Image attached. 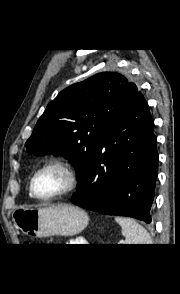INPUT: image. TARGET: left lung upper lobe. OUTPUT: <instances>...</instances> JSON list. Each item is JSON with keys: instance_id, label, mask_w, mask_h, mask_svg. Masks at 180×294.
I'll return each instance as SVG.
<instances>
[{"instance_id": "5c2ea615", "label": "left lung upper lobe", "mask_w": 180, "mask_h": 294, "mask_svg": "<svg viewBox=\"0 0 180 294\" xmlns=\"http://www.w3.org/2000/svg\"><path fill=\"white\" fill-rule=\"evenodd\" d=\"M138 92L117 72L98 73L67 87L48 104L25 143L27 151L65 156L76 169L78 189L101 142Z\"/></svg>"}]
</instances>
